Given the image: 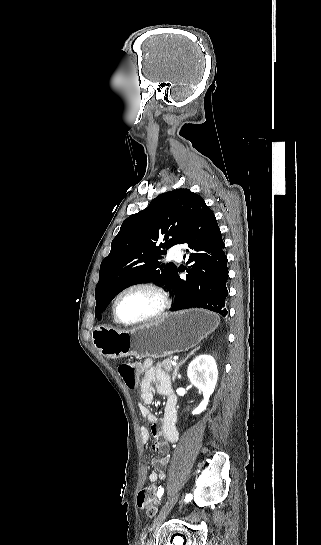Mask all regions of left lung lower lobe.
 Masks as SVG:
<instances>
[{
	"instance_id": "obj_1",
	"label": "left lung lower lobe",
	"mask_w": 321,
	"mask_h": 545,
	"mask_svg": "<svg viewBox=\"0 0 321 545\" xmlns=\"http://www.w3.org/2000/svg\"><path fill=\"white\" fill-rule=\"evenodd\" d=\"M179 244L188 245L184 259L191 265L185 280L176 271L168 285L175 295L170 310L204 308L225 317L229 277L225 244L215 215L205 203L197 206Z\"/></svg>"
}]
</instances>
